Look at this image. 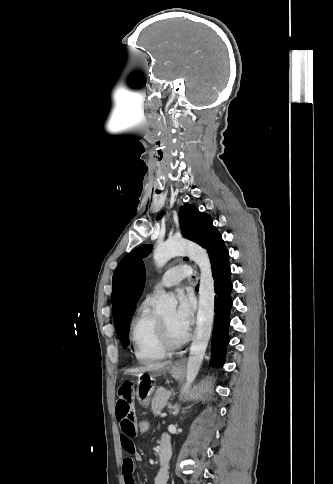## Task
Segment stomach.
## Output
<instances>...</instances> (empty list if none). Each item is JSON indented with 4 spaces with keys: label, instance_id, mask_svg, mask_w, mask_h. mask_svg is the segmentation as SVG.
Masks as SVG:
<instances>
[{
    "label": "stomach",
    "instance_id": "1",
    "mask_svg": "<svg viewBox=\"0 0 333 484\" xmlns=\"http://www.w3.org/2000/svg\"><path fill=\"white\" fill-rule=\"evenodd\" d=\"M168 372L172 376V378L177 380L181 377L182 366L178 363L171 364L168 368ZM153 392L154 387L149 380L143 379L138 381L136 396L137 400L142 406H148Z\"/></svg>",
    "mask_w": 333,
    "mask_h": 484
}]
</instances>
